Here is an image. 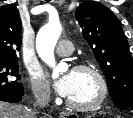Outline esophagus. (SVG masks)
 <instances>
[{
  "instance_id": "34e87169",
  "label": "esophagus",
  "mask_w": 133,
  "mask_h": 118,
  "mask_svg": "<svg viewBox=\"0 0 133 118\" xmlns=\"http://www.w3.org/2000/svg\"><path fill=\"white\" fill-rule=\"evenodd\" d=\"M60 116L61 118H78L77 114L69 113V112H62Z\"/></svg>"
}]
</instances>
